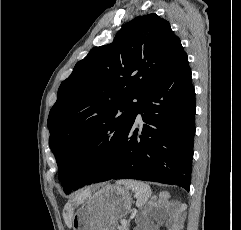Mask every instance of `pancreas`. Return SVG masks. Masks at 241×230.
Segmentation results:
<instances>
[{
    "mask_svg": "<svg viewBox=\"0 0 241 230\" xmlns=\"http://www.w3.org/2000/svg\"><path fill=\"white\" fill-rule=\"evenodd\" d=\"M119 230H128V224L120 226Z\"/></svg>",
    "mask_w": 241,
    "mask_h": 230,
    "instance_id": "1",
    "label": "pancreas"
}]
</instances>
